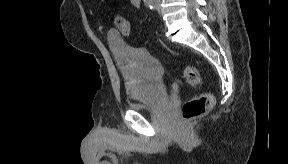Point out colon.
Wrapping results in <instances>:
<instances>
[{
  "mask_svg": "<svg viewBox=\"0 0 288 164\" xmlns=\"http://www.w3.org/2000/svg\"><path fill=\"white\" fill-rule=\"evenodd\" d=\"M117 28L125 35L131 32V26L127 19L123 16H117ZM182 76L197 88L203 85V77L200 72L191 66L181 68ZM214 105V97L211 93L201 91L194 98L186 101L181 107L183 120H194L197 117L203 116L210 112Z\"/></svg>",
  "mask_w": 288,
  "mask_h": 164,
  "instance_id": "obj_1",
  "label": "colon"
}]
</instances>
